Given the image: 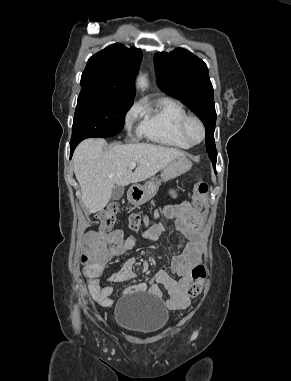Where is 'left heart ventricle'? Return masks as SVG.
I'll list each match as a JSON object with an SVG mask.
<instances>
[{"label": "left heart ventricle", "instance_id": "left-heart-ventricle-1", "mask_svg": "<svg viewBox=\"0 0 291 381\" xmlns=\"http://www.w3.org/2000/svg\"><path fill=\"white\" fill-rule=\"evenodd\" d=\"M190 133L194 139L198 140L200 138L201 131L197 123L190 124Z\"/></svg>", "mask_w": 291, "mask_h": 381}]
</instances>
